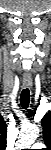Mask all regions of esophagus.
<instances>
[{
  "mask_svg": "<svg viewBox=\"0 0 51 150\" xmlns=\"http://www.w3.org/2000/svg\"><path fill=\"white\" fill-rule=\"evenodd\" d=\"M23 87L24 88H31L32 87V81L30 79L23 80Z\"/></svg>",
  "mask_w": 51,
  "mask_h": 150,
  "instance_id": "1",
  "label": "esophagus"
}]
</instances>
